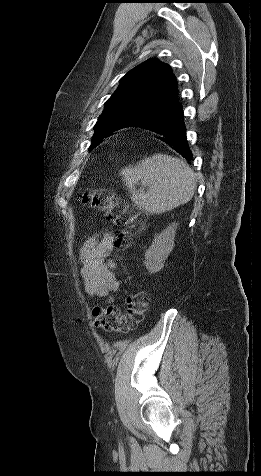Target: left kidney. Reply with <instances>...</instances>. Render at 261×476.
<instances>
[{
    "label": "left kidney",
    "instance_id": "5707ae66",
    "mask_svg": "<svg viewBox=\"0 0 261 476\" xmlns=\"http://www.w3.org/2000/svg\"><path fill=\"white\" fill-rule=\"evenodd\" d=\"M177 223H172L156 236L154 242L145 253L144 264L150 273L159 272L174 247Z\"/></svg>",
    "mask_w": 261,
    "mask_h": 476
}]
</instances>
